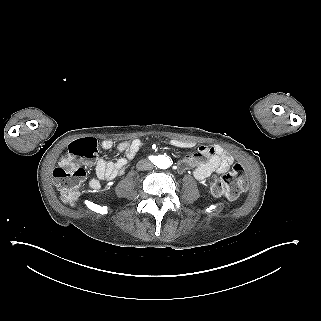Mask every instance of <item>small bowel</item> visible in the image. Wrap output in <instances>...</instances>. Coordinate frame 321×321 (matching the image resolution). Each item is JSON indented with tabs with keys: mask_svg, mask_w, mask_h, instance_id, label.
Segmentation results:
<instances>
[{
	"mask_svg": "<svg viewBox=\"0 0 321 321\" xmlns=\"http://www.w3.org/2000/svg\"><path fill=\"white\" fill-rule=\"evenodd\" d=\"M168 144L178 148H193L195 144L185 140H169ZM102 148L112 149L115 144L110 139H105L101 143ZM142 146L140 139L124 140L117 145V150L125 154L126 158H119L114 161H107L99 158L95 162L96 179L90 181L92 188H99L101 182L111 181L123 174L127 159L134 158ZM233 163V157L219 145H202L196 152L185 156L178 162L179 170L192 169L193 176L199 181L209 180L214 173L226 172Z\"/></svg>",
	"mask_w": 321,
	"mask_h": 321,
	"instance_id": "1",
	"label": "small bowel"
}]
</instances>
